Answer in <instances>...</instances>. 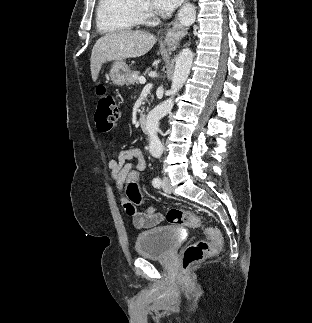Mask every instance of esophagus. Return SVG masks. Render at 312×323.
Segmentation results:
<instances>
[{"mask_svg": "<svg viewBox=\"0 0 312 323\" xmlns=\"http://www.w3.org/2000/svg\"><path fill=\"white\" fill-rule=\"evenodd\" d=\"M184 2H188V0H184ZM179 14L176 15V18L173 22L172 29L168 30V32L165 35V42L169 46V48H177L180 44V41L182 38L186 35V29L185 27L180 24L179 20Z\"/></svg>", "mask_w": 312, "mask_h": 323, "instance_id": "obj_1", "label": "esophagus"}]
</instances>
